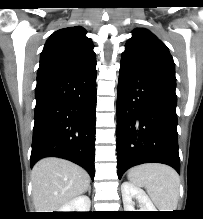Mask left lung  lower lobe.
<instances>
[{
    "mask_svg": "<svg viewBox=\"0 0 203 219\" xmlns=\"http://www.w3.org/2000/svg\"><path fill=\"white\" fill-rule=\"evenodd\" d=\"M176 80L121 61L117 89L118 177L142 163H163L180 173Z\"/></svg>",
    "mask_w": 203,
    "mask_h": 219,
    "instance_id": "left-lung-lower-lobe-1",
    "label": "left lung lower lobe"
}]
</instances>
